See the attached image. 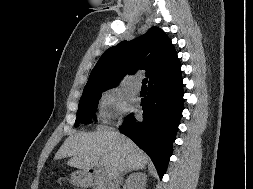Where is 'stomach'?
Returning <instances> with one entry per match:
<instances>
[{"label": "stomach", "instance_id": "0dacf381", "mask_svg": "<svg viewBox=\"0 0 253 189\" xmlns=\"http://www.w3.org/2000/svg\"><path fill=\"white\" fill-rule=\"evenodd\" d=\"M71 182L77 185H85L90 182V179L85 171H76L71 174Z\"/></svg>", "mask_w": 253, "mask_h": 189}]
</instances>
